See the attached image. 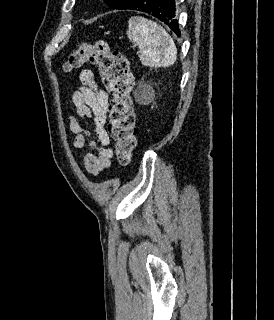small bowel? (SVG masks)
I'll use <instances>...</instances> for the list:
<instances>
[{"label": "small bowel", "instance_id": "1", "mask_svg": "<svg viewBox=\"0 0 274 320\" xmlns=\"http://www.w3.org/2000/svg\"><path fill=\"white\" fill-rule=\"evenodd\" d=\"M79 81L80 87L74 92L72 101L79 118L86 119L94 116L99 146L95 141L90 140V151L84 153L83 147L90 138V132L84 123L73 115H69L67 121L70 131L75 134L72 147L76 150L78 162L89 174L96 175L110 166L114 155V150L110 146V136L105 128L109 96L98 86L92 69H83L80 72Z\"/></svg>", "mask_w": 274, "mask_h": 320}]
</instances>
